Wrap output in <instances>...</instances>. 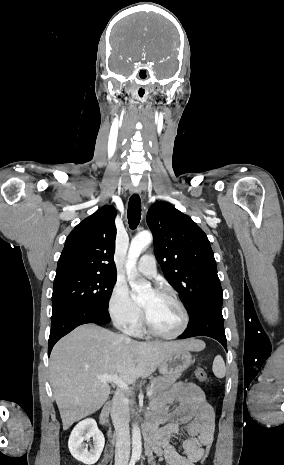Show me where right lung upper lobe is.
Listing matches in <instances>:
<instances>
[{
	"label": "right lung upper lobe",
	"instance_id": "cb5924a9",
	"mask_svg": "<svg viewBox=\"0 0 284 465\" xmlns=\"http://www.w3.org/2000/svg\"><path fill=\"white\" fill-rule=\"evenodd\" d=\"M116 209L100 208L68 235L58 260L55 279L74 275L117 277L114 263Z\"/></svg>",
	"mask_w": 284,
	"mask_h": 465
}]
</instances>
